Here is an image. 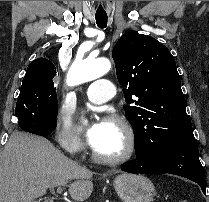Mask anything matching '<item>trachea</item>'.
<instances>
[{"instance_id": "obj_1", "label": "trachea", "mask_w": 209, "mask_h": 202, "mask_svg": "<svg viewBox=\"0 0 209 202\" xmlns=\"http://www.w3.org/2000/svg\"><path fill=\"white\" fill-rule=\"evenodd\" d=\"M97 26L101 29L107 27V15H95Z\"/></svg>"}]
</instances>
